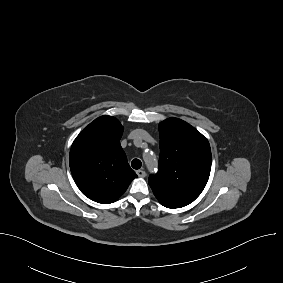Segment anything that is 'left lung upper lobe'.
Returning a JSON list of instances; mask_svg holds the SVG:
<instances>
[{"mask_svg": "<svg viewBox=\"0 0 283 283\" xmlns=\"http://www.w3.org/2000/svg\"><path fill=\"white\" fill-rule=\"evenodd\" d=\"M160 158L149 185L167 208H181L203 191L211 170L208 140L193 126L178 118L159 124Z\"/></svg>", "mask_w": 283, "mask_h": 283, "instance_id": "left-lung-upper-lobe-1", "label": "left lung upper lobe"}]
</instances>
